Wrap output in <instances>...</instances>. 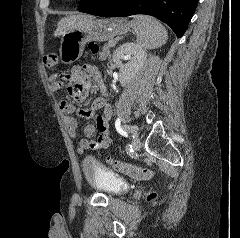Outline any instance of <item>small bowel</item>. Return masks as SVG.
Masks as SVG:
<instances>
[{
	"instance_id": "small-bowel-1",
	"label": "small bowel",
	"mask_w": 240,
	"mask_h": 238,
	"mask_svg": "<svg viewBox=\"0 0 240 238\" xmlns=\"http://www.w3.org/2000/svg\"><path fill=\"white\" fill-rule=\"evenodd\" d=\"M91 80L100 89L101 96L96 98L89 109L78 110L72 103L60 101L59 108L63 114L64 123L71 138L77 136L78 123L75 113L85 118H94V123H89L84 129L85 138L79 141L77 152L82 153L92 148H106L112 143L109 134L110 119L112 116V105L108 100L107 89L103 83L101 73L96 66L85 64L83 66H75L72 68L70 75L52 74L49 77V88L52 92L60 90L65 82H68V92L77 101H84L89 96L91 88ZM96 132L100 135L97 139L90 140Z\"/></svg>"
}]
</instances>
